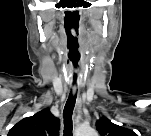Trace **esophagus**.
<instances>
[{
  "label": "esophagus",
  "instance_id": "esophagus-1",
  "mask_svg": "<svg viewBox=\"0 0 151 136\" xmlns=\"http://www.w3.org/2000/svg\"><path fill=\"white\" fill-rule=\"evenodd\" d=\"M73 93L74 94L76 93L75 88L73 89ZM76 113H77V119H80L81 118V104L79 100L77 101V105H76Z\"/></svg>",
  "mask_w": 151,
  "mask_h": 136
}]
</instances>
